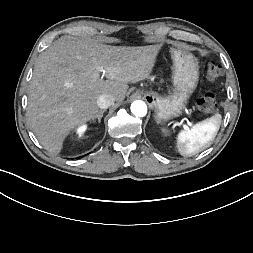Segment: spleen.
<instances>
[{"label": "spleen", "instance_id": "obj_1", "mask_svg": "<svg viewBox=\"0 0 253 253\" xmlns=\"http://www.w3.org/2000/svg\"><path fill=\"white\" fill-rule=\"evenodd\" d=\"M221 115L216 114L197 123L190 130H182L177 136V149L182 156H191L212 141L219 130Z\"/></svg>", "mask_w": 253, "mask_h": 253}]
</instances>
